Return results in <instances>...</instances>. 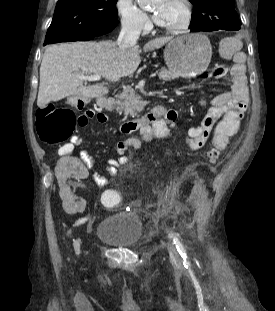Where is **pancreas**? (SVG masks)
<instances>
[{
  "mask_svg": "<svg viewBox=\"0 0 275 311\" xmlns=\"http://www.w3.org/2000/svg\"><path fill=\"white\" fill-rule=\"evenodd\" d=\"M159 78L164 81H171L176 78V75L166 68H161ZM113 107L117 112L123 113L125 117L134 116L141 108L140 96L131 86L124 87L123 91L116 95Z\"/></svg>",
  "mask_w": 275,
  "mask_h": 311,
  "instance_id": "pancreas-1",
  "label": "pancreas"
}]
</instances>
